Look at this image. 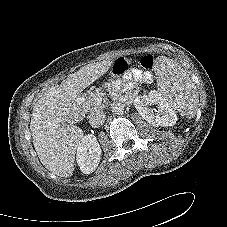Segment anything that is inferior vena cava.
<instances>
[{
    "label": "inferior vena cava",
    "instance_id": "obj_1",
    "mask_svg": "<svg viewBox=\"0 0 227 227\" xmlns=\"http://www.w3.org/2000/svg\"><path fill=\"white\" fill-rule=\"evenodd\" d=\"M106 115L102 110H96L89 115V123L92 127L98 128L104 124Z\"/></svg>",
    "mask_w": 227,
    "mask_h": 227
}]
</instances>
